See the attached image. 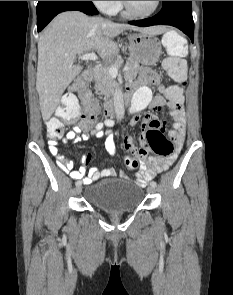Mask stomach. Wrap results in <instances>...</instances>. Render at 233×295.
Listing matches in <instances>:
<instances>
[{"instance_id":"1","label":"stomach","mask_w":233,"mask_h":295,"mask_svg":"<svg viewBox=\"0 0 233 295\" xmlns=\"http://www.w3.org/2000/svg\"><path fill=\"white\" fill-rule=\"evenodd\" d=\"M129 52L139 63L152 66L161 56V44L151 32H136L128 34Z\"/></svg>"}]
</instances>
